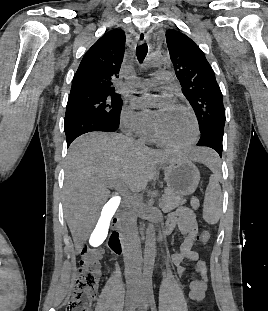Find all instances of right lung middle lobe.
<instances>
[{"instance_id": "right-lung-middle-lobe-1", "label": "right lung middle lobe", "mask_w": 268, "mask_h": 311, "mask_svg": "<svg viewBox=\"0 0 268 311\" xmlns=\"http://www.w3.org/2000/svg\"><path fill=\"white\" fill-rule=\"evenodd\" d=\"M121 95L111 91H70L64 125L76 118L88 117L107 123H118L122 109Z\"/></svg>"}]
</instances>
